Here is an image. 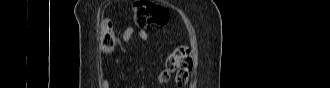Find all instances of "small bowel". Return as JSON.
<instances>
[{
    "label": "small bowel",
    "mask_w": 330,
    "mask_h": 88,
    "mask_svg": "<svg viewBox=\"0 0 330 88\" xmlns=\"http://www.w3.org/2000/svg\"><path fill=\"white\" fill-rule=\"evenodd\" d=\"M135 30L133 27L129 26L125 29V31L122 34L121 39L118 41V46L120 47L121 50L124 51V47H123V42H128L131 40L133 34H134ZM137 38L139 41H147L149 38V34L147 31L145 30H140L137 33Z\"/></svg>",
    "instance_id": "c3829d8e"
}]
</instances>
